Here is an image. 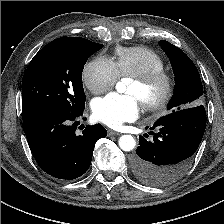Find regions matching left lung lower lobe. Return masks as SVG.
Wrapping results in <instances>:
<instances>
[{"mask_svg":"<svg viewBox=\"0 0 224 224\" xmlns=\"http://www.w3.org/2000/svg\"><path fill=\"white\" fill-rule=\"evenodd\" d=\"M206 127L203 105L183 108L154 123L153 140L139 136L132 159L135 177L144 184L163 186L177 180L189 167Z\"/></svg>","mask_w":224,"mask_h":224,"instance_id":"0a47b994","label":"left lung lower lobe"}]
</instances>
